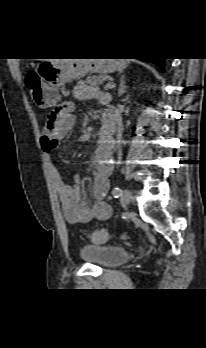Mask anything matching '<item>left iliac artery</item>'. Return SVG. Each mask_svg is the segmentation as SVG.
Listing matches in <instances>:
<instances>
[{"instance_id": "obj_1", "label": "left iliac artery", "mask_w": 206, "mask_h": 348, "mask_svg": "<svg viewBox=\"0 0 206 348\" xmlns=\"http://www.w3.org/2000/svg\"><path fill=\"white\" fill-rule=\"evenodd\" d=\"M120 194H121V188L118 186L114 187L112 190V196L114 198H118L120 196Z\"/></svg>"}]
</instances>
